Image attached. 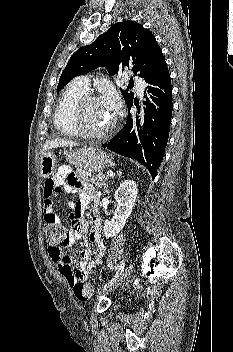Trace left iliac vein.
Segmentation results:
<instances>
[{"mask_svg":"<svg viewBox=\"0 0 233 352\" xmlns=\"http://www.w3.org/2000/svg\"><path fill=\"white\" fill-rule=\"evenodd\" d=\"M133 271V265H129L126 270L122 273V275L116 279V281L109 285L107 288L102 289L99 294L97 295V298H100L101 296L108 294L112 291H114L115 289H117L131 274Z\"/></svg>","mask_w":233,"mask_h":352,"instance_id":"1","label":"left iliac vein"}]
</instances>
